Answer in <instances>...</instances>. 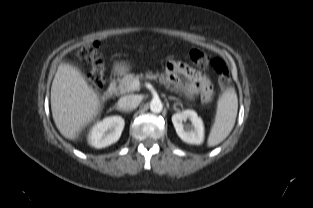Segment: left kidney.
<instances>
[{"mask_svg": "<svg viewBox=\"0 0 313 208\" xmlns=\"http://www.w3.org/2000/svg\"><path fill=\"white\" fill-rule=\"evenodd\" d=\"M187 119L191 121V125H184ZM172 122L177 135L182 141L189 144L200 145L204 141V126L203 121L198 117L194 110H184L180 113H175L172 116Z\"/></svg>", "mask_w": 313, "mask_h": 208, "instance_id": "1", "label": "left kidney"}]
</instances>
